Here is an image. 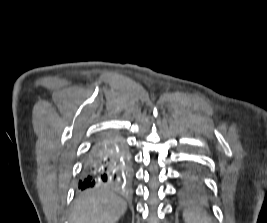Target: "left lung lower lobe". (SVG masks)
I'll return each mask as SVG.
<instances>
[{"mask_svg": "<svg viewBox=\"0 0 267 223\" xmlns=\"http://www.w3.org/2000/svg\"><path fill=\"white\" fill-rule=\"evenodd\" d=\"M197 171H180V176H197Z\"/></svg>", "mask_w": 267, "mask_h": 223, "instance_id": "left-lung-lower-lobe-1", "label": "left lung lower lobe"}]
</instances>
